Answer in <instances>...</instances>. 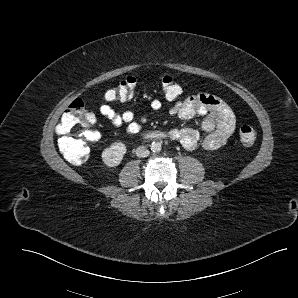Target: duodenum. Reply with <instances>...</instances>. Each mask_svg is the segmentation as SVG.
I'll return each instance as SVG.
<instances>
[{
	"mask_svg": "<svg viewBox=\"0 0 298 298\" xmlns=\"http://www.w3.org/2000/svg\"><path fill=\"white\" fill-rule=\"evenodd\" d=\"M151 137L156 138V137H159V135L158 134H152Z\"/></svg>",
	"mask_w": 298,
	"mask_h": 298,
	"instance_id": "obj_1",
	"label": "duodenum"
}]
</instances>
